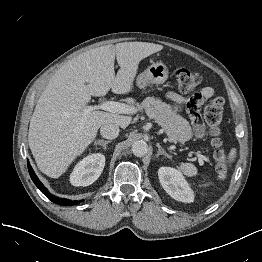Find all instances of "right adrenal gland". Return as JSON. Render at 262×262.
<instances>
[{"instance_id": "1", "label": "right adrenal gland", "mask_w": 262, "mask_h": 262, "mask_svg": "<svg viewBox=\"0 0 262 262\" xmlns=\"http://www.w3.org/2000/svg\"><path fill=\"white\" fill-rule=\"evenodd\" d=\"M111 143V141H105V140H98L95 142V145H102L103 149L106 150L107 149V144Z\"/></svg>"}]
</instances>
